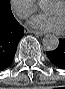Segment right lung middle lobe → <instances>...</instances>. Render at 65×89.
<instances>
[{"instance_id": "dd1d6c3e", "label": "right lung middle lobe", "mask_w": 65, "mask_h": 89, "mask_svg": "<svg viewBox=\"0 0 65 89\" xmlns=\"http://www.w3.org/2000/svg\"><path fill=\"white\" fill-rule=\"evenodd\" d=\"M0 10L5 11L7 14H12L10 0H0Z\"/></svg>"}]
</instances>
